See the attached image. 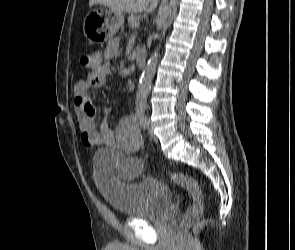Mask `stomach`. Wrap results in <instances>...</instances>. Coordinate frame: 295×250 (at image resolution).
<instances>
[{
	"label": "stomach",
	"instance_id": "obj_1",
	"mask_svg": "<svg viewBox=\"0 0 295 250\" xmlns=\"http://www.w3.org/2000/svg\"><path fill=\"white\" fill-rule=\"evenodd\" d=\"M124 24V15L111 8H99L88 13L84 20V34L91 40H95V45H102V40H108Z\"/></svg>",
	"mask_w": 295,
	"mask_h": 250
}]
</instances>
